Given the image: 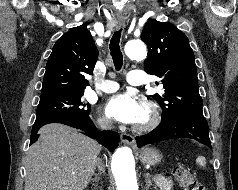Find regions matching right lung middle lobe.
Segmentation results:
<instances>
[{"instance_id": "obj_1", "label": "right lung middle lobe", "mask_w": 238, "mask_h": 190, "mask_svg": "<svg viewBox=\"0 0 238 190\" xmlns=\"http://www.w3.org/2000/svg\"><path fill=\"white\" fill-rule=\"evenodd\" d=\"M84 92L67 93L40 98L36 121L53 118L89 116L90 105L82 100Z\"/></svg>"}]
</instances>
